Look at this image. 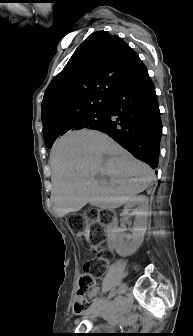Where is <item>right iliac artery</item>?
<instances>
[{"instance_id": "82829eb1", "label": "right iliac artery", "mask_w": 193, "mask_h": 336, "mask_svg": "<svg viewBox=\"0 0 193 336\" xmlns=\"http://www.w3.org/2000/svg\"><path fill=\"white\" fill-rule=\"evenodd\" d=\"M119 298H116V301H113L112 303H110V305H114L118 302ZM100 303V301L97 302L96 306H98Z\"/></svg>"}]
</instances>
